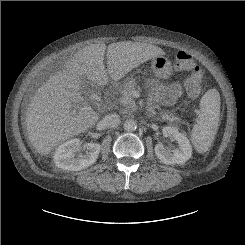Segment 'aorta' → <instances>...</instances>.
<instances>
[{
  "instance_id": "762f6f07",
  "label": "aorta",
  "mask_w": 245,
  "mask_h": 245,
  "mask_svg": "<svg viewBox=\"0 0 245 245\" xmlns=\"http://www.w3.org/2000/svg\"><path fill=\"white\" fill-rule=\"evenodd\" d=\"M123 127L127 132L135 131L137 128V122L133 119H128L124 122Z\"/></svg>"
}]
</instances>
